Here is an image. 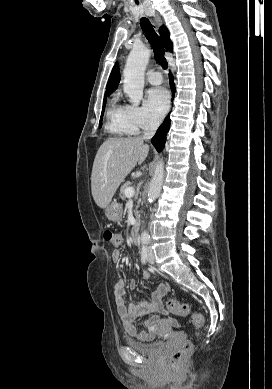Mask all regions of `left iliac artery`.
Masks as SVG:
<instances>
[{"label":"left iliac artery","instance_id":"left-iliac-artery-1","mask_svg":"<svg viewBox=\"0 0 272 389\" xmlns=\"http://www.w3.org/2000/svg\"><path fill=\"white\" fill-rule=\"evenodd\" d=\"M144 242H145V243H148V242H149V240H145Z\"/></svg>","mask_w":272,"mask_h":389}]
</instances>
